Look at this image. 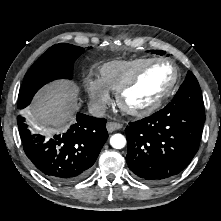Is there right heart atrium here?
I'll return each instance as SVG.
<instances>
[{"label":"right heart atrium","instance_id":"right-heart-atrium-1","mask_svg":"<svg viewBox=\"0 0 221 221\" xmlns=\"http://www.w3.org/2000/svg\"><path fill=\"white\" fill-rule=\"evenodd\" d=\"M85 88L95 108L101 109L109 102L110 91L100 78L87 77L85 80Z\"/></svg>","mask_w":221,"mask_h":221}]
</instances>
